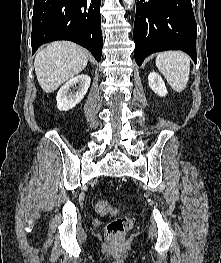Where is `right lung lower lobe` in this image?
Wrapping results in <instances>:
<instances>
[{
    "mask_svg": "<svg viewBox=\"0 0 221 263\" xmlns=\"http://www.w3.org/2000/svg\"><path fill=\"white\" fill-rule=\"evenodd\" d=\"M101 0H34L32 54L44 43L73 41L102 56Z\"/></svg>",
    "mask_w": 221,
    "mask_h": 263,
    "instance_id": "right-lung-lower-lobe-1",
    "label": "right lung lower lobe"
}]
</instances>
